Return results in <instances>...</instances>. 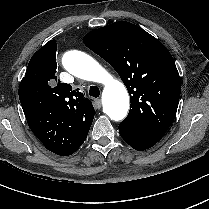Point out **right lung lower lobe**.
Segmentation results:
<instances>
[{"label": "right lung lower lobe", "instance_id": "obj_1", "mask_svg": "<svg viewBox=\"0 0 209 209\" xmlns=\"http://www.w3.org/2000/svg\"><path fill=\"white\" fill-rule=\"evenodd\" d=\"M23 111L30 129L49 151L60 156H68L82 145L69 147L67 144L61 143L60 137L56 135L58 134L56 133L57 128L47 125L50 119L47 106L23 109Z\"/></svg>", "mask_w": 209, "mask_h": 209}]
</instances>
